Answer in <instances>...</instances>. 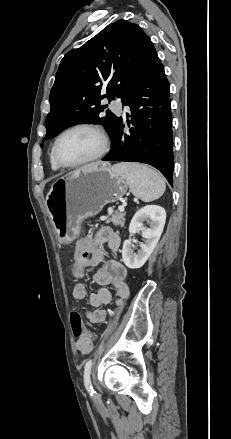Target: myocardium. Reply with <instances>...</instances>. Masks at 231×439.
Masks as SVG:
<instances>
[{"instance_id": "f54148a6", "label": "myocardium", "mask_w": 231, "mask_h": 439, "mask_svg": "<svg viewBox=\"0 0 231 439\" xmlns=\"http://www.w3.org/2000/svg\"><path fill=\"white\" fill-rule=\"evenodd\" d=\"M75 130H89V131L96 133L101 140V147L95 155H93L92 157H90L88 159H85L83 161L76 162V163H66L59 156L58 145H59L60 140L66 134H68L72 131H75ZM109 149H110V137L105 129H103L102 127H100L99 125H96V124L80 123V124H76V125H73L67 129H65L57 136V138L54 141L53 147H52V152H53V157H54L56 163L60 167L76 168V167H80V166L95 162V161L103 158L108 153Z\"/></svg>"}]
</instances>
